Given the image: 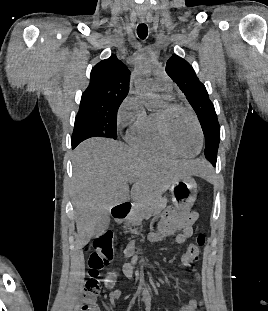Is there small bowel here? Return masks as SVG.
<instances>
[{"instance_id": "1", "label": "small bowel", "mask_w": 268, "mask_h": 311, "mask_svg": "<svg viewBox=\"0 0 268 311\" xmlns=\"http://www.w3.org/2000/svg\"><path fill=\"white\" fill-rule=\"evenodd\" d=\"M198 218L197 213L190 212L183 216H177L171 213H166L158 217L153 223L152 231L147 235V239L150 242H160L167 238L173 237L178 244L185 243L193 235L192 225ZM143 253V247H136V242L131 241L124 249V261L122 265V272L130 280L135 279V271L140 256ZM197 280L201 279L200 273L195 272ZM121 298V292L119 290L112 291L110 293V300L112 302ZM141 300L143 302L145 311H151L152 309V295L148 287H144L141 290ZM203 305V300L191 299L188 303L182 304L179 307V311H197L199 307Z\"/></svg>"}]
</instances>
